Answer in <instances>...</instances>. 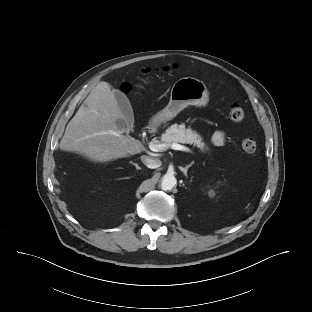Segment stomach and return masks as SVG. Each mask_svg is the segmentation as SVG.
Here are the masks:
<instances>
[{"instance_id":"1","label":"stomach","mask_w":312,"mask_h":312,"mask_svg":"<svg viewBox=\"0 0 312 312\" xmlns=\"http://www.w3.org/2000/svg\"><path fill=\"white\" fill-rule=\"evenodd\" d=\"M209 102V93L205 84L193 77L177 80L170 92L168 105L151 120L153 126L165 123L189 105L205 107Z\"/></svg>"}]
</instances>
